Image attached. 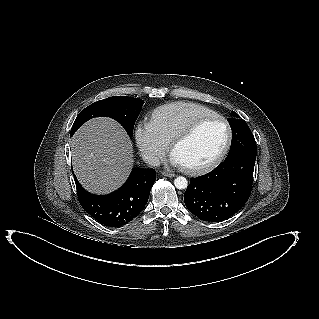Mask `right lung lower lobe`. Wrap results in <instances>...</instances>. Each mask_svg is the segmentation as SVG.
<instances>
[{
    "label": "right lung lower lobe",
    "instance_id": "98d812e1",
    "mask_svg": "<svg viewBox=\"0 0 319 319\" xmlns=\"http://www.w3.org/2000/svg\"><path fill=\"white\" fill-rule=\"evenodd\" d=\"M74 180L83 209L99 223L119 227L143 210L156 180V172L154 169L134 168L124 185L108 195L91 194L81 186L75 175Z\"/></svg>",
    "mask_w": 319,
    "mask_h": 319
}]
</instances>
